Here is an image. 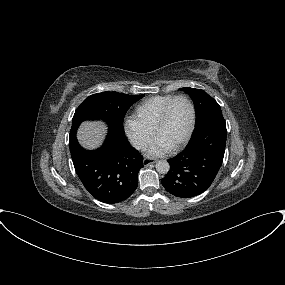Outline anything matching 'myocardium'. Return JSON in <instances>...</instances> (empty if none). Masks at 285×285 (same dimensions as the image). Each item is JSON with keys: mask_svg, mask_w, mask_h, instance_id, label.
Masks as SVG:
<instances>
[{"mask_svg": "<svg viewBox=\"0 0 285 285\" xmlns=\"http://www.w3.org/2000/svg\"><path fill=\"white\" fill-rule=\"evenodd\" d=\"M179 99H182V100H185L187 102V104L189 105V108H190V112H191V120H190V126H189V129L186 133V135L184 136V138L178 143L176 144L175 146L171 147L172 150H179L181 149L183 146H185L188 141L190 140L193 132H194V129H195V126H196V109H195V106L193 104V102L191 101V99L184 95V94H179V95H175L163 108V110L161 111L159 117H158V120L155 124V127H154V135L157 136V133L159 131V129L162 127V125L165 123L167 117H168V114H169V111H170V108L171 106L173 105V103Z\"/></svg>", "mask_w": 285, "mask_h": 285, "instance_id": "myocardium-1", "label": "myocardium"}]
</instances>
